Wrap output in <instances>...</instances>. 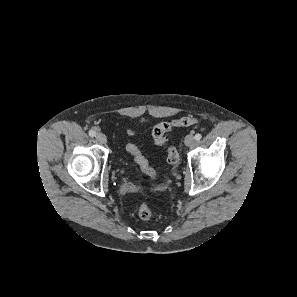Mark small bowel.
Segmentation results:
<instances>
[{
    "label": "small bowel",
    "mask_w": 297,
    "mask_h": 297,
    "mask_svg": "<svg viewBox=\"0 0 297 297\" xmlns=\"http://www.w3.org/2000/svg\"><path fill=\"white\" fill-rule=\"evenodd\" d=\"M128 132H129V133H132V130L129 129Z\"/></svg>",
    "instance_id": "1"
}]
</instances>
